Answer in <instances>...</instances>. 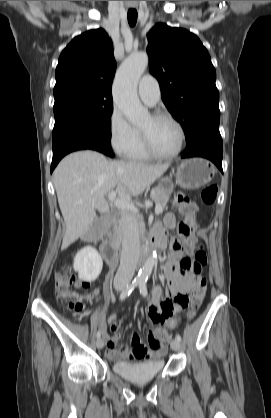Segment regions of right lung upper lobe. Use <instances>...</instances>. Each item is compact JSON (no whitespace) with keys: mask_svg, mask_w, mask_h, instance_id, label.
<instances>
[{"mask_svg":"<svg viewBox=\"0 0 271 418\" xmlns=\"http://www.w3.org/2000/svg\"><path fill=\"white\" fill-rule=\"evenodd\" d=\"M115 70L112 42L103 29L75 37L59 57L55 101L74 97L112 99Z\"/></svg>","mask_w":271,"mask_h":418,"instance_id":"right-lung-upper-lobe-1","label":"right lung upper lobe"}]
</instances>
